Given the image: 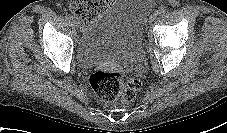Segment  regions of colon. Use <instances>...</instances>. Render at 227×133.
Here are the masks:
<instances>
[{
    "mask_svg": "<svg viewBox=\"0 0 227 133\" xmlns=\"http://www.w3.org/2000/svg\"><path fill=\"white\" fill-rule=\"evenodd\" d=\"M112 2V0H71L72 13L83 24H89ZM90 84L97 95L107 102H131L141 88L138 78L125 80L118 72L95 71L90 76Z\"/></svg>",
    "mask_w": 227,
    "mask_h": 133,
    "instance_id": "colon-1",
    "label": "colon"
}]
</instances>
